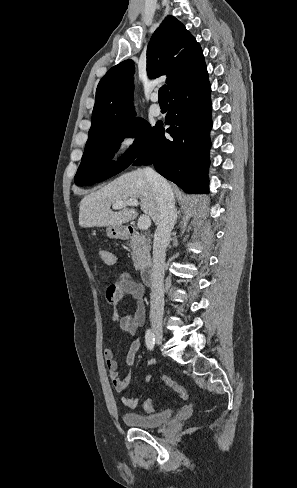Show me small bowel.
<instances>
[{
	"mask_svg": "<svg viewBox=\"0 0 297 488\" xmlns=\"http://www.w3.org/2000/svg\"><path fill=\"white\" fill-rule=\"evenodd\" d=\"M106 258L101 261L107 265H114L116 258L114 254L109 251H104ZM116 291L112 298V303H118L122 301L126 296H131L136 300V310L133 315H123L119 316L114 314L119 328L130 334L134 335L139 327H142L145 323V304H144V287L133 280L127 273H122L117 282ZM140 348V338H135L127 352L125 363L128 367L133 366L135 363L136 354ZM103 357L106 363L109 378L113 384L114 389L121 394V402L126 407L133 408L137 406L139 400L142 397V393L136 397H128L124 393L130 387L131 381L129 375L121 376L118 371V363L114 358V353L111 348H106L103 351ZM156 361L151 359L149 365H155ZM152 379L151 375L147 374L144 377L145 382H150Z\"/></svg>",
	"mask_w": 297,
	"mask_h": 488,
	"instance_id": "c3829d8e",
	"label": "small bowel"
}]
</instances>
